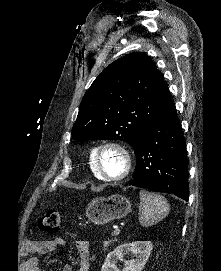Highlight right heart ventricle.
Returning a JSON list of instances; mask_svg holds the SVG:
<instances>
[{"instance_id":"1","label":"right heart ventricle","mask_w":221,"mask_h":271,"mask_svg":"<svg viewBox=\"0 0 221 271\" xmlns=\"http://www.w3.org/2000/svg\"><path fill=\"white\" fill-rule=\"evenodd\" d=\"M87 163H89L88 174L92 176V179H97V183H107V178H101V174L98 173L97 167L100 166L98 158H87Z\"/></svg>"}]
</instances>
